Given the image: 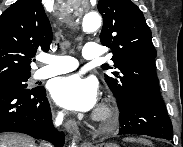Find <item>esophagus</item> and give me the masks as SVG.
<instances>
[{"label": "esophagus", "instance_id": "esophagus-1", "mask_svg": "<svg viewBox=\"0 0 183 147\" xmlns=\"http://www.w3.org/2000/svg\"><path fill=\"white\" fill-rule=\"evenodd\" d=\"M65 127L70 134H72L76 139L81 140L78 125L75 120L69 119L65 122Z\"/></svg>", "mask_w": 183, "mask_h": 147}]
</instances>
